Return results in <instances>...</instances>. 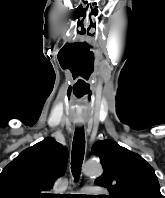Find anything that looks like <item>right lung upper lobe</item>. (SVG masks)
I'll return each mask as SVG.
<instances>
[{"instance_id": "cb5924a9", "label": "right lung upper lobe", "mask_w": 165, "mask_h": 198, "mask_svg": "<svg viewBox=\"0 0 165 198\" xmlns=\"http://www.w3.org/2000/svg\"><path fill=\"white\" fill-rule=\"evenodd\" d=\"M66 147L49 137L21 152L0 174V198H48L55 180L63 175Z\"/></svg>"}]
</instances>
